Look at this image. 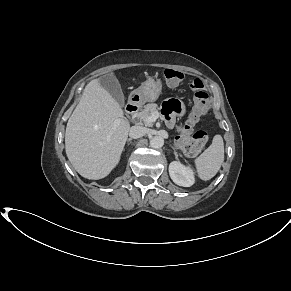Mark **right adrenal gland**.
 <instances>
[{
    "label": "right adrenal gland",
    "instance_id": "obj_1",
    "mask_svg": "<svg viewBox=\"0 0 291 291\" xmlns=\"http://www.w3.org/2000/svg\"><path fill=\"white\" fill-rule=\"evenodd\" d=\"M131 140H132V139L129 138V139H128V142L131 141Z\"/></svg>",
    "mask_w": 291,
    "mask_h": 291
}]
</instances>
